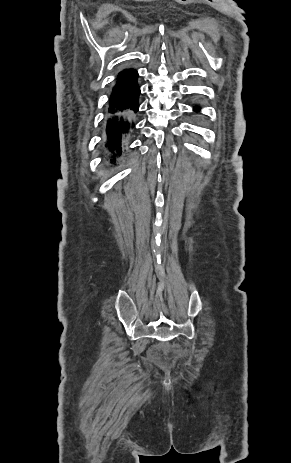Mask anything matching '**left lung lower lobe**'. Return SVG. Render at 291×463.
Here are the masks:
<instances>
[{
	"label": "left lung lower lobe",
	"instance_id": "0a47b994",
	"mask_svg": "<svg viewBox=\"0 0 291 463\" xmlns=\"http://www.w3.org/2000/svg\"><path fill=\"white\" fill-rule=\"evenodd\" d=\"M193 110L198 112L200 110V108L198 106H195Z\"/></svg>",
	"mask_w": 291,
	"mask_h": 463
}]
</instances>
